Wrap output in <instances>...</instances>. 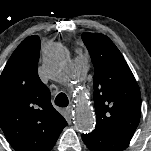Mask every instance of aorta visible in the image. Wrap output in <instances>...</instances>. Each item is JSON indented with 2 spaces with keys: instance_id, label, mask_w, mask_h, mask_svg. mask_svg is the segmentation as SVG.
<instances>
[{
  "instance_id": "aorta-1",
  "label": "aorta",
  "mask_w": 151,
  "mask_h": 151,
  "mask_svg": "<svg viewBox=\"0 0 151 151\" xmlns=\"http://www.w3.org/2000/svg\"><path fill=\"white\" fill-rule=\"evenodd\" d=\"M46 65L50 71L63 80H71L68 70V57L64 47L52 45L46 53ZM75 124L81 132L92 131L95 126V116L86 98L79 94L75 103Z\"/></svg>"
}]
</instances>
